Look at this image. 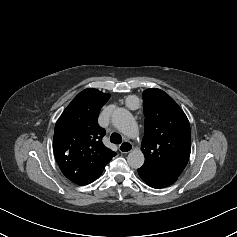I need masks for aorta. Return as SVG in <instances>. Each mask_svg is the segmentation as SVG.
<instances>
[{
  "instance_id": "aorta-1",
  "label": "aorta",
  "mask_w": 237,
  "mask_h": 237,
  "mask_svg": "<svg viewBox=\"0 0 237 237\" xmlns=\"http://www.w3.org/2000/svg\"><path fill=\"white\" fill-rule=\"evenodd\" d=\"M113 125L124 135L129 138L138 136V126L132 114L124 109L117 108L112 115ZM145 157L141 150L134 149L127 156V162L131 168L138 169L144 164Z\"/></svg>"
}]
</instances>
